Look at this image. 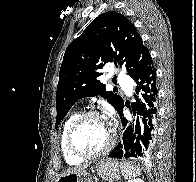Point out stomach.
Returning a JSON list of instances; mask_svg holds the SVG:
<instances>
[{
    "mask_svg": "<svg viewBox=\"0 0 196 182\" xmlns=\"http://www.w3.org/2000/svg\"><path fill=\"white\" fill-rule=\"evenodd\" d=\"M96 172L107 182H113L120 178V168L116 161L102 159L96 164ZM55 182H92L90 175L83 171L81 173H64Z\"/></svg>",
    "mask_w": 196,
    "mask_h": 182,
    "instance_id": "stomach-1",
    "label": "stomach"
}]
</instances>
